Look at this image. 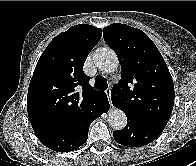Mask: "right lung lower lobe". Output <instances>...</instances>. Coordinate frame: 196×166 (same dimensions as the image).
Instances as JSON below:
<instances>
[{"label": "right lung lower lobe", "mask_w": 196, "mask_h": 166, "mask_svg": "<svg viewBox=\"0 0 196 166\" xmlns=\"http://www.w3.org/2000/svg\"><path fill=\"white\" fill-rule=\"evenodd\" d=\"M108 110V99L101 98L88 109L85 118L82 119L78 126L41 132L37 133L36 136L51 150L57 152L74 151L87 141L88 129L91 122Z\"/></svg>", "instance_id": "right-lung-lower-lobe-1"}]
</instances>
